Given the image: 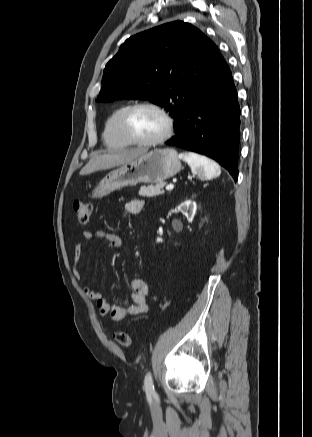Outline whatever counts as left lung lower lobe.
I'll list each match as a JSON object with an SVG mask.
<instances>
[{
  "label": "left lung lower lobe",
  "mask_w": 312,
  "mask_h": 437,
  "mask_svg": "<svg viewBox=\"0 0 312 437\" xmlns=\"http://www.w3.org/2000/svg\"><path fill=\"white\" fill-rule=\"evenodd\" d=\"M240 108L231 71L223 60L216 75L190 102L166 144L206 155L238 178Z\"/></svg>",
  "instance_id": "0a47b994"
}]
</instances>
